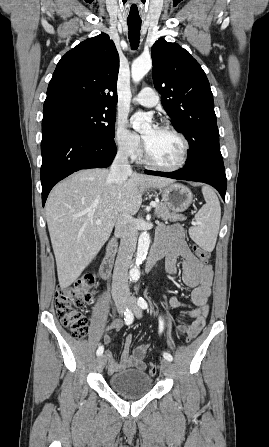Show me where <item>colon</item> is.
Returning <instances> with one entry per match:
<instances>
[{"label": "colon", "mask_w": 269, "mask_h": 447, "mask_svg": "<svg viewBox=\"0 0 269 447\" xmlns=\"http://www.w3.org/2000/svg\"><path fill=\"white\" fill-rule=\"evenodd\" d=\"M196 258L202 263H208L211 255L199 246L192 248ZM96 294L94 279L85 274L67 288H58L55 292V310L64 327L69 329L76 338H83L88 334V318L85 315V307L91 303ZM186 342H191V337H186ZM140 352H137V356ZM150 376L157 374V365L149 364L146 369Z\"/></svg>", "instance_id": "5ec220e1"}]
</instances>
